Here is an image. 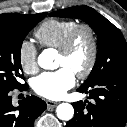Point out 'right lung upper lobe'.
Wrapping results in <instances>:
<instances>
[{
	"label": "right lung upper lobe",
	"instance_id": "right-lung-upper-lobe-1",
	"mask_svg": "<svg viewBox=\"0 0 127 127\" xmlns=\"http://www.w3.org/2000/svg\"><path fill=\"white\" fill-rule=\"evenodd\" d=\"M28 16H30V15L6 13V14H1L0 19L17 21V20L24 19Z\"/></svg>",
	"mask_w": 127,
	"mask_h": 127
}]
</instances>
